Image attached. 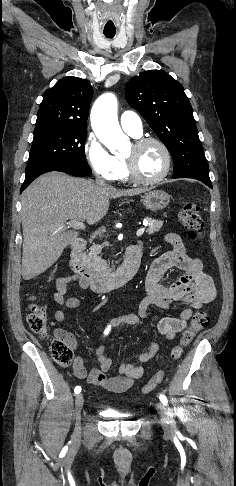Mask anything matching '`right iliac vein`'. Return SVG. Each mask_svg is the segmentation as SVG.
Listing matches in <instances>:
<instances>
[{"mask_svg": "<svg viewBox=\"0 0 236 486\" xmlns=\"http://www.w3.org/2000/svg\"><path fill=\"white\" fill-rule=\"evenodd\" d=\"M84 405V397L82 394H78L75 399V412H76V420H77V427L76 431L77 434H80L81 427H80V420H81V411Z\"/></svg>", "mask_w": 236, "mask_h": 486, "instance_id": "right-iliac-vein-1", "label": "right iliac vein"}]
</instances>
